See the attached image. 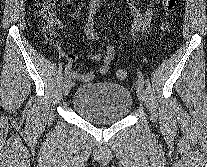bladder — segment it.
Segmentation results:
<instances>
[{
    "instance_id": "31cf9c89",
    "label": "bladder",
    "mask_w": 207,
    "mask_h": 167,
    "mask_svg": "<svg viewBox=\"0 0 207 167\" xmlns=\"http://www.w3.org/2000/svg\"><path fill=\"white\" fill-rule=\"evenodd\" d=\"M74 110L94 123H114L131 111L133 99L123 85L113 82H90L81 85L73 97Z\"/></svg>"
}]
</instances>
